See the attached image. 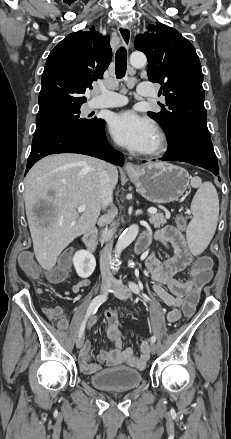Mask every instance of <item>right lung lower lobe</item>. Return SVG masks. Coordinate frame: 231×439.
Returning a JSON list of instances; mask_svg holds the SVG:
<instances>
[{
  "label": "right lung lower lobe",
  "instance_id": "98d812e1",
  "mask_svg": "<svg viewBox=\"0 0 231 439\" xmlns=\"http://www.w3.org/2000/svg\"><path fill=\"white\" fill-rule=\"evenodd\" d=\"M105 121L90 131L57 130L35 136L26 172L41 158L57 153H79L97 157L115 165H123V156L107 142Z\"/></svg>",
  "mask_w": 231,
  "mask_h": 439
}]
</instances>
